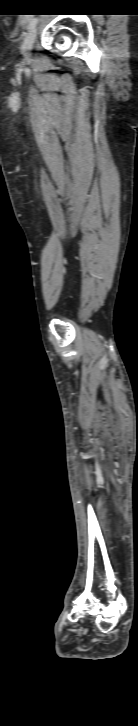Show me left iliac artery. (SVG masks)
<instances>
[{"instance_id": "obj_1", "label": "left iliac artery", "mask_w": 138, "mask_h": 726, "mask_svg": "<svg viewBox=\"0 0 138 726\" xmlns=\"http://www.w3.org/2000/svg\"><path fill=\"white\" fill-rule=\"evenodd\" d=\"M37 23H38V18H36V17L32 18L31 21L29 22L28 29L35 27Z\"/></svg>"}]
</instances>
